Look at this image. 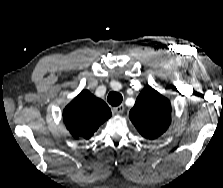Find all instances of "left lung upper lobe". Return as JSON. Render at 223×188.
<instances>
[{
  "mask_svg": "<svg viewBox=\"0 0 223 188\" xmlns=\"http://www.w3.org/2000/svg\"><path fill=\"white\" fill-rule=\"evenodd\" d=\"M129 117L143 137L156 139L171 123L170 101L152 87L146 86L137 97Z\"/></svg>",
  "mask_w": 223,
  "mask_h": 188,
  "instance_id": "left-lung-upper-lobe-1",
  "label": "left lung upper lobe"
}]
</instances>
